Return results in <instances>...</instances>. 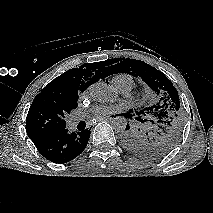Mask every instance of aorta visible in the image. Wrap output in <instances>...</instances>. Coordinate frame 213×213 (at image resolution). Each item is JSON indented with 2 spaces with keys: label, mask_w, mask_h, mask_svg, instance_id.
<instances>
[{
  "label": "aorta",
  "mask_w": 213,
  "mask_h": 213,
  "mask_svg": "<svg viewBox=\"0 0 213 213\" xmlns=\"http://www.w3.org/2000/svg\"><path fill=\"white\" fill-rule=\"evenodd\" d=\"M89 94L94 101L105 103L114 99L116 93L105 83H95L89 87ZM127 122L122 117H116L112 122L114 130L123 132L126 129Z\"/></svg>",
  "instance_id": "obj_1"
}]
</instances>
